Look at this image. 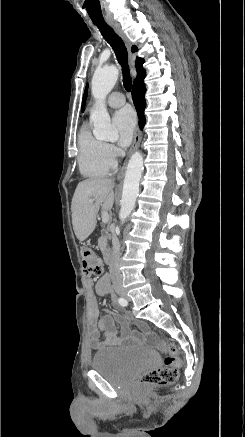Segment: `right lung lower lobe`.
Listing matches in <instances>:
<instances>
[{
    "instance_id": "right-lung-lower-lobe-1",
    "label": "right lung lower lobe",
    "mask_w": 245,
    "mask_h": 437,
    "mask_svg": "<svg viewBox=\"0 0 245 437\" xmlns=\"http://www.w3.org/2000/svg\"><path fill=\"white\" fill-rule=\"evenodd\" d=\"M145 91L146 89L143 80L134 82L133 89H132V99L135 108L137 110V114L139 118V126L141 130L143 129V126L145 124V116H144V109L146 105V101L144 99Z\"/></svg>"
}]
</instances>
